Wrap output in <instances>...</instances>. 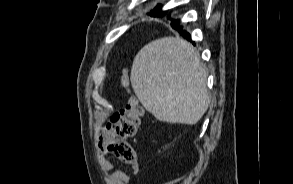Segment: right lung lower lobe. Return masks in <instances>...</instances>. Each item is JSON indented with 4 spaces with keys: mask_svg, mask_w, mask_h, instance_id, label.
Listing matches in <instances>:
<instances>
[{
    "mask_svg": "<svg viewBox=\"0 0 293 184\" xmlns=\"http://www.w3.org/2000/svg\"><path fill=\"white\" fill-rule=\"evenodd\" d=\"M171 26L173 28L177 29L184 38L190 40V35L185 31H181V28H179V21L178 20H172L171 21Z\"/></svg>",
    "mask_w": 293,
    "mask_h": 184,
    "instance_id": "right-lung-lower-lobe-1",
    "label": "right lung lower lobe"
}]
</instances>
